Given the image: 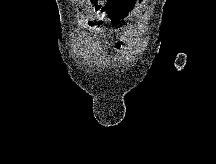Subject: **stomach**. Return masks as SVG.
<instances>
[{
  "label": "stomach",
  "instance_id": "obj_1",
  "mask_svg": "<svg viewBox=\"0 0 216 164\" xmlns=\"http://www.w3.org/2000/svg\"><path fill=\"white\" fill-rule=\"evenodd\" d=\"M145 0H107V7L92 9V14H104V20H127L131 12Z\"/></svg>",
  "mask_w": 216,
  "mask_h": 164
}]
</instances>
